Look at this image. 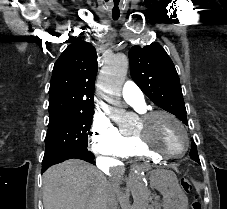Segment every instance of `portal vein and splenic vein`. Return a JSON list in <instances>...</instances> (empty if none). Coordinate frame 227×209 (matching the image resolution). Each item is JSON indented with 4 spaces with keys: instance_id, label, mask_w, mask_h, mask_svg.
Wrapping results in <instances>:
<instances>
[{
    "instance_id": "portal-vein-and-splenic-vein-1",
    "label": "portal vein and splenic vein",
    "mask_w": 227,
    "mask_h": 209,
    "mask_svg": "<svg viewBox=\"0 0 227 209\" xmlns=\"http://www.w3.org/2000/svg\"><path fill=\"white\" fill-rule=\"evenodd\" d=\"M154 197H155L156 199H158V200L161 198V196H160V195H157V194H156Z\"/></svg>"
}]
</instances>
